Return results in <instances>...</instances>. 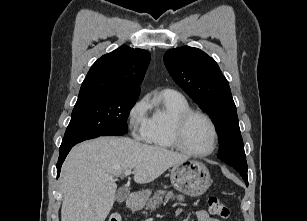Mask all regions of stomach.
<instances>
[{"label": "stomach", "mask_w": 307, "mask_h": 221, "mask_svg": "<svg viewBox=\"0 0 307 221\" xmlns=\"http://www.w3.org/2000/svg\"><path fill=\"white\" fill-rule=\"evenodd\" d=\"M170 179L179 192L191 197H198L205 193L212 182L207 167L196 160H188L173 166ZM149 195L150 192L145 191L137 204H144Z\"/></svg>", "instance_id": "0dacf381"}]
</instances>
